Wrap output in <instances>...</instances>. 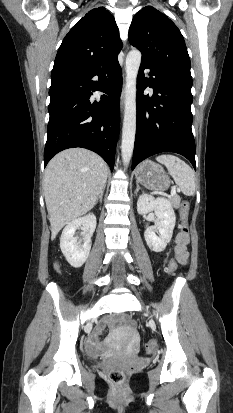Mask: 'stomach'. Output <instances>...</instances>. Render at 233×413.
Returning <instances> with one entry per match:
<instances>
[{"instance_id":"1","label":"stomach","mask_w":233,"mask_h":413,"mask_svg":"<svg viewBox=\"0 0 233 413\" xmlns=\"http://www.w3.org/2000/svg\"><path fill=\"white\" fill-rule=\"evenodd\" d=\"M135 177L137 182L150 190L164 191L171 183L163 167L151 160H146L137 167Z\"/></svg>"}]
</instances>
